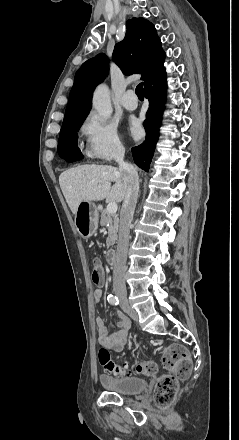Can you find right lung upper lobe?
<instances>
[{
  "mask_svg": "<svg viewBox=\"0 0 239 440\" xmlns=\"http://www.w3.org/2000/svg\"><path fill=\"white\" fill-rule=\"evenodd\" d=\"M123 41L114 47L113 60L125 75L141 73L144 83L164 69L165 53L152 23L144 18H132L126 23ZM108 74L105 54L87 60L75 74L63 123L88 115L90 97L95 87Z\"/></svg>",
  "mask_w": 239,
  "mask_h": 440,
  "instance_id": "1",
  "label": "right lung upper lobe"
}]
</instances>
